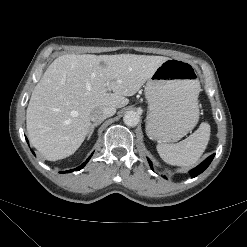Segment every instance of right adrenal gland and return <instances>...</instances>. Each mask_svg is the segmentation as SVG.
Returning <instances> with one entry per match:
<instances>
[{
    "mask_svg": "<svg viewBox=\"0 0 247 247\" xmlns=\"http://www.w3.org/2000/svg\"><path fill=\"white\" fill-rule=\"evenodd\" d=\"M99 124H100V123H93V124L90 126L87 140L90 139L91 135L93 134L94 128H95L96 126H98Z\"/></svg>",
    "mask_w": 247,
    "mask_h": 247,
    "instance_id": "obj_1",
    "label": "right adrenal gland"
}]
</instances>
